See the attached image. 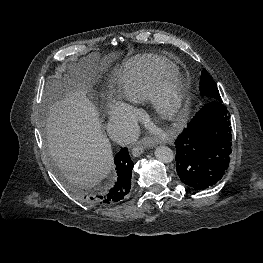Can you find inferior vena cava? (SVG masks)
Here are the masks:
<instances>
[{
  "label": "inferior vena cava",
  "mask_w": 263,
  "mask_h": 263,
  "mask_svg": "<svg viewBox=\"0 0 263 263\" xmlns=\"http://www.w3.org/2000/svg\"><path fill=\"white\" fill-rule=\"evenodd\" d=\"M107 132L110 138L121 146L131 145L136 139L133 124L123 120L109 122Z\"/></svg>",
  "instance_id": "1"
}]
</instances>
